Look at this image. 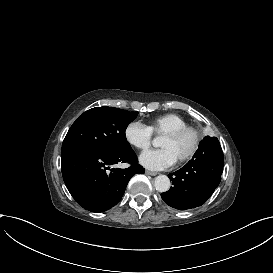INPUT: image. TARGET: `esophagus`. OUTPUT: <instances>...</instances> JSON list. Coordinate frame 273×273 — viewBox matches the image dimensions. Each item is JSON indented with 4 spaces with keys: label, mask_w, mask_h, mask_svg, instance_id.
I'll return each instance as SVG.
<instances>
[{
    "label": "esophagus",
    "mask_w": 273,
    "mask_h": 273,
    "mask_svg": "<svg viewBox=\"0 0 273 273\" xmlns=\"http://www.w3.org/2000/svg\"><path fill=\"white\" fill-rule=\"evenodd\" d=\"M145 173H146L147 175H151V176H156V175L158 174L157 172L148 171V170H146Z\"/></svg>",
    "instance_id": "34e87169"
}]
</instances>
